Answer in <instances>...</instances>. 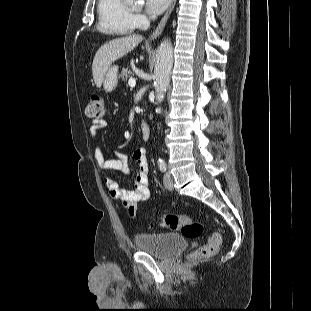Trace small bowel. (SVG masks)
<instances>
[{
	"label": "small bowel",
	"mask_w": 311,
	"mask_h": 311,
	"mask_svg": "<svg viewBox=\"0 0 311 311\" xmlns=\"http://www.w3.org/2000/svg\"><path fill=\"white\" fill-rule=\"evenodd\" d=\"M105 120H95L89 127V133L95 137L99 130L106 126ZM133 160L137 165V174L134 178V187L131 190L120 188L117 181L104 177V184L108 189L111 197L121 200L127 209L130 218H136V207L138 203L146 201L150 196L149 178H148V162L146 157V149L144 147L137 148L133 152ZM94 159L99 169L119 171L125 175L130 174L129 158L126 154L116 152L114 158H106L103 151L96 147L94 150Z\"/></svg>",
	"instance_id": "obj_1"
}]
</instances>
